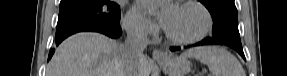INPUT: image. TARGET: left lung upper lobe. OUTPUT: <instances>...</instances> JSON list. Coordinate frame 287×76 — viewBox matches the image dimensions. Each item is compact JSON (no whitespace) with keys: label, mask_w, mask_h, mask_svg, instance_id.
Here are the masks:
<instances>
[{"label":"left lung upper lobe","mask_w":287,"mask_h":76,"mask_svg":"<svg viewBox=\"0 0 287 76\" xmlns=\"http://www.w3.org/2000/svg\"><path fill=\"white\" fill-rule=\"evenodd\" d=\"M211 13L213 38L229 44H241L234 0H199Z\"/></svg>","instance_id":"obj_1"}]
</instances>
